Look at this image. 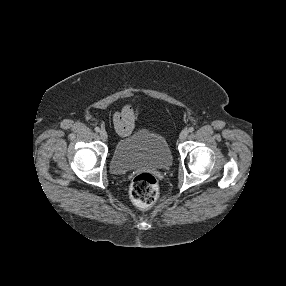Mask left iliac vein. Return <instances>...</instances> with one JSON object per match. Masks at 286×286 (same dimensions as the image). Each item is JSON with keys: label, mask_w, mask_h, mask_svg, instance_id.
I'll return each mask as SVG.
<instances>
[{"label": "left iliac vein", "mask_w": 286, "mask_h": 286, "mask_svg": "<svg viewBox=\"0 0 286 286\" xmlns=\"http://www.w3.org/2000/svg\"><path fill=\"white\" fill-rule=\"evenodd\" d=\"M187 137H188V131L187 130H183L179 135V139L181 141H184Z\"/></svg>", "instance_id": "obj_1"}]
</instances>
